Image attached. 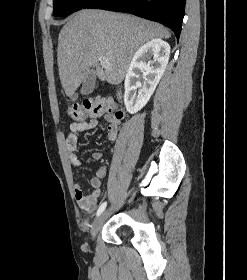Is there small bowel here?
<instances>
[{"mask_svg":"<svg viewBox=\"0 0 247 280\" xmlns=\"http://www.w3.org/2000/svg\"><path fill=\"white\" fill-rule=\"evenodd\" d=\"M106 130H107V137L110 141H115L118 136V127L120 124L121 118H117L113 115H106ZM99 121L97 119H90L88 121H80V122H74L70 125V132L66 138V148L68 151V158L70 161V164L73 168H78L81 164L76 151L78 147V134L90 130L95 129L98 127ZM102 157V154L98 151L93 152L91 155V158L93 160H100ZM107 174V169L105 166L100 167L97 171L94 177L90 180V185L92 188V191L88 194H85L82 187L77 185L75 188V196L77 203L81 209L88 213H92L102 196V190H101V182L102 179L105 178Z\"/></svg>","mask_w":247,"mask_h":280,"instance_id":"obj_1","label":"small bowel"}]
</instances>
